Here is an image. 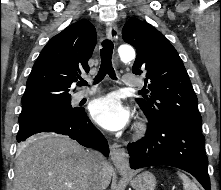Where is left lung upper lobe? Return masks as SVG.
I'll list each match as a JSON object with an SVG mask.
<instances>
[{"label":"left lung upper lobe","mask_w":221,"mask_h":190,"mask_svg":"<svg viewBox=\"0 0 221 190\" xmlns=\"http://www.w3.org/2000/svg\"><path fill=\"white\" fill-rule=\"evenodd\" d=\"M122 36L137 50L132 72L148 83L150 96L136 98L148 120H174L202 133L197 97L176 49L152 25L134 17Z\"/></svg>","instance_id":"1"}]
</instances>
